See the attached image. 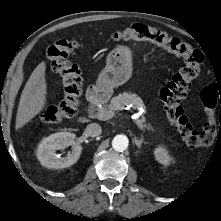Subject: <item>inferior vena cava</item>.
<instances>
[{"label": "inferior vena cava", "mask_w": 221, "mask_h": 221, "mask_svg": "<svg viewBox=\"0 0 221 221\" xmlns=\"http://www.w3.org/2000/svg\"><path fill=\"white\" fill-rule=\"evenodd\" d=\"M86 133L91 137L99 136L102 133L101 126L98 123H91L87 125Z\"/></svg>", "instance_id": "602c4592"}]
</instances>
